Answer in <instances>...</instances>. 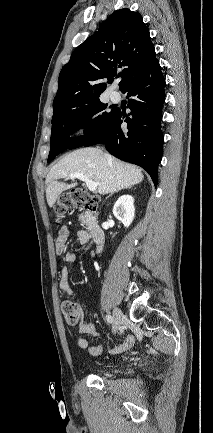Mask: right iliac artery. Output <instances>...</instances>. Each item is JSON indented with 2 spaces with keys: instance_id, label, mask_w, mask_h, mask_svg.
Returning a JSON list of instances; mask_svg holds the SVG:
<instances>
[{
  "instance_id": "obj_1",
  "label": "right iliac artery",
  "mask_w": 213,
  "mask_h": 433,
  "mask_svg": "<svg viewBox=\"0 0 213 433\" xmlns=\"http://www.w3.org/2000/svg\"><path fill=\"white\" fill-rule=\"evenodd\" d=\"M106 320H107L109 323H113V317H112L111 315H107V316H106Z\"/></svg>"
}]
</instances>
